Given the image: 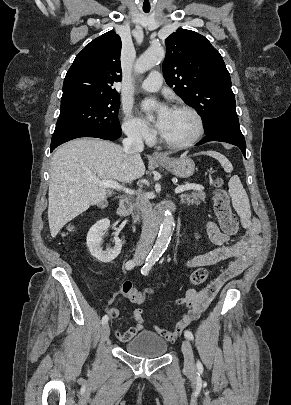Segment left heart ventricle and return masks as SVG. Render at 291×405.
Instances as JSON below:
<instances>
[{
  "mask_svg": "<svg viewBox=\"0 0 291 405\" xmlns=\"http://www.w3.org/2000/svg\"><path fill=\"white\" fill-rule=\"evenodd\" d=\"M196 131V123L190 113L171 109L168 120L161 134L171 142H184Z\"/></svg>",
  "mask_w": 291,
  "mask_h": 405,
  "instance_id": "1",
  "label": "left heart ventricle"
}]
</instances>
